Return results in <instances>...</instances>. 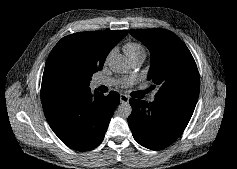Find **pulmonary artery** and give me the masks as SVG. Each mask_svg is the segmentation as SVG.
<instances>
[{
    "label": "pulmonary artery",
    "mask_w": 237,
    "mask_h": 169,
    "mask_svg": "<svg viewBox=\"0 0 237 169\" xmlns=\"http://www.w3.org/2000/svg\"><path fill=\"white\" fill-rule=\"evenodd\" d=\"M133 62L134 66H139L142 62L143 59H136ZM113 83V80L109 79V78H101V79H97L93 81V85L94 86H99V85H111ZM150 101L154 100V97H150L149 99Z\"/></svg>",
    "instance_id": "e3ab8cb5"
}]
</instances>
